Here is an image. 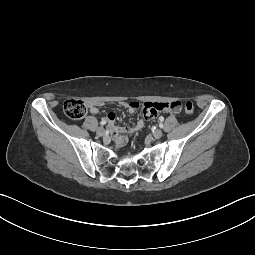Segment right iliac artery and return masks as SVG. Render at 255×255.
Returning <instances> with one entry per match:
<instances>
[{"label":"right iliac artery","mask_w":255,"mask_h":255,"mask_svg":"<svg viewBox=\"0 0 255 255\" xmlns=\"http://www.w3.org/2000/svg\"><path fill=\"white\" fill-rule=\"evenodd\" d=\"M100 124H101V125L106 124V120H102V121L100 122Z\"/></svg>","instance_id":"82829eb1"}]
</instances>
